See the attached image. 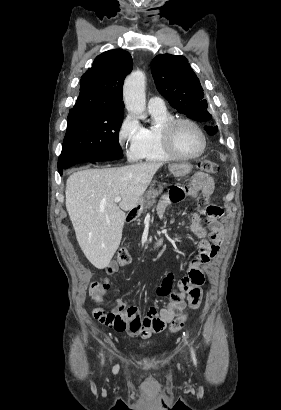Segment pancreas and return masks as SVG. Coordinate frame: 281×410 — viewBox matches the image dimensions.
<instances>
[{"instance_id": "cf45deb5", "label": "pancreas", "mask_w": 281, "mask_h": 410, "mask_svg": "<svg viewBox=\"0 0 281 410\" xmlns=\"http://www.w3.org/2000/svg\"><path fill=\"white\" fill-rule=\"evenodd\" d=\"M162 191H163L162 185H159L158 189H152L148 191L145 209L151 207L155 203V198L159 196L162 193Z\"/></svg>"}]
</instances>
